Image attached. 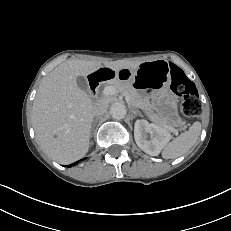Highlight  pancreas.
<instances>
[{
  "instance_id": "cf45deb5",
  "label": "pancreas",
  "mask_w": 231,
  "mask_h": 231,
  "mask_svg": "<svg viewBox=\"0 0 231 231\" xmlns=\"http://www.w3.org/2000/svg\"><path fill=\"white\" fill-rule=\"evenodd\" d=\"M110 86H114L119 92L128 95L130 97L129 103L136 108H145L148 104V101L144 100L139 93L132 87L128 82L121 81L119 79H114L109 82ZM150 120L159 124L164 125L161 119L153 114L150 115Z\"/></svg>"
}]
</instances>
